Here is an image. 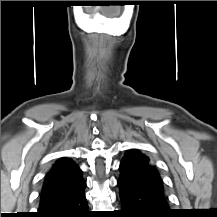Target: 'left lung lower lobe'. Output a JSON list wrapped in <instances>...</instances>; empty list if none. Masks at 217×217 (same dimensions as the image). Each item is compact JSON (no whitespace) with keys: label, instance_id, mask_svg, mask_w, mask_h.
<instances>
[{"label":"left lung lower lobe","instance_id":"0a47b994","mask_svg":"<svg viewBox=\"0 0 217 217\" xmlns=\"http://www.w3.org/2000/svg\"><path fill=\"white\" fill-rule=\"evenodd\" d=\"M118 179L121 214L125 217H171L168 197L164 189L134 182L120 167Z\"/></svg>","mask_w":217,"mask_h":217}]
</instances>
